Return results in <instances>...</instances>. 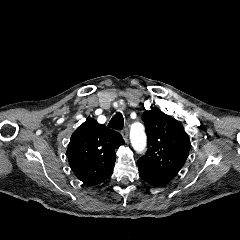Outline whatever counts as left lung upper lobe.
Instances as JSON below:
<instances>
[{
	"instance_id": "obj_1",
	"label": "left lung upper lobe",
	"mask_w": 240,
	"mask_h": 240,
	"mask_svg": "<svg viewBox=\"0 0 240 240\" xmlns=\"http://www.w3.org/2000/svg\"><path fill=\"white\" fill-rule=\"evenodd\" d=\"M142 120L145 123L148 150L137 164L171 181L188 157L190 139L182 125L160 109L145 111Z\"/></svg>"
}]
</instances>
